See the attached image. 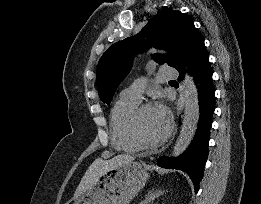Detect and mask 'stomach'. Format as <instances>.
<instances>
[{
	"label": "stomach",
	"mask_w": 261,
	"mask_h": 204,
	"mask_svg": "<svg viewBox=\"0 0 261 204\" xmlns=\"http://www.w3.org/2000/svg\"><path fill=\"white\" fill-rule=\"evenodd\" d=\"M148 178L144 165L132 161L106 171L93 186L67 204H129Z\"/></svg>",
	"instance_id": "0dacf381"
}]
</instances>
